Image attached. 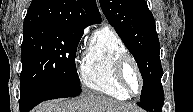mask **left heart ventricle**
<instances>
[{
  "instance_id": "1",
  "label": "left heart ventricle",
  "mask_w": 193,
  "mask_h": 112,
  "mask_svg": "<svg viewBox=\"0 0 193 112\" xmlns=\"http://www.w3.org/2000/svg\"><path fill=\"white\" fill-rule=\"evenodd\" d=\"M126 76H127V80L130 84L131 89L134 92H137L138 90V80H137V76L133 70V68L131 66H128L126 69Z\"/></svg>"
}]
</instances>
